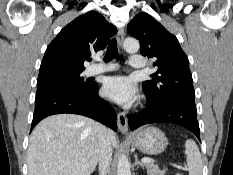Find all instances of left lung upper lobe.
<instances>
[{"instance_id":"left-lung-upper-lobe-1","label":"left lung upper lobe","mask_w":233,"mask_h":175,"mask_svg":"<svg viewBox=\"0 0 233 175\" xmlns=\"http://www.w3.org/2000/svg\"><path fill=\"white\" fill-rule=\"evenodd\" d=\"M127 30L140 41L143 56L157 59L152 80L142 83L151 102L161 104L174 96L195 97L189 60L174 35L147 13L136 15Z\"/></svg>"}]
</instances>
